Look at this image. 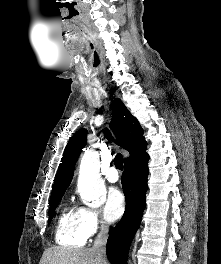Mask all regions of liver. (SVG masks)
<instances>
[{
	"instance_id": "obj_1",
	"label": "liver",
	"mask_w": 221,
	"mask_h": 264,
	"mask_svg": "<svg viewBox=\"0 0 221 264\" xmlns=\"http://www.w3.org/2000/svg\"><path fill=\"white\" fill-rule=\"evenodd\" d=\"M39 264H109L100 259L91 248L51 247L44 251Z\"/></svg>"
}]
</instances>
